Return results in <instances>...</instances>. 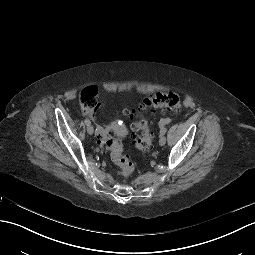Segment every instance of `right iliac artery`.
<instances>
[{
	"label": "right iliac artery",
	"mask_w": 255,
	"mask_h": 255,
	"mask_svg": "<svg viewBox=\"0 0 255 255\" xmlns=\"http://www.w3.org/2000/svg\"><path fill=\"white\" fill-rule=\"evenodd\" d=\"M84 122H85V124H86L87 126L90 125V123H91L88 119H85Z\"/></svg>",
	"instance_id": "1"
}]
</instances>
